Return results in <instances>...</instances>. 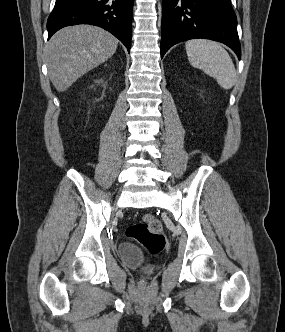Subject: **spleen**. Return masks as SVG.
I'll return each instance as SVG.
<instances>
[{
	"label": "spleen",
	"instance_id": "obj_1",
	"mask_svg": "<svg viewBox=\"0 0 285 332\" xmlns=\"http://www.w3.org/2000/svg\"><path fill=\"white\" fill-rule=\"evenodd\" d=\"M190 64L216 79L224 89H231L236 82V70L228 52L217 42L193 39L185 43Z\"/></svg>",
	"mask_w": 285,
	"mask_h": 332
}]
</instances>
